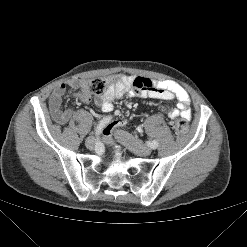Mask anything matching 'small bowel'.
<instances>
[{"label":"small bowel","instance_id":"small-bowel-1","mask_svg":"<svg viewBox=\"0 0 247 247\" xmlns=\"http://www.w3.org/2000/svg\"><path fill=\"white\" fill-rule=\"evenodd\" d=\"M81 80H70L56 86L49 98V109L53 120L58 124H66L75 114L72 108L62 109V98L67 88L77 90V97L83 103H90L92 96L87 91ZM150 97L160 100H177L175 108L162 106L160 109L171 119L182 117L190 120L192 113L190 109V98L186 90L179 84L169 81H154L144 77H122L119 81L110 80L105 93L94 99L95 104L104 112L113 110L115 100L122 97ZM125 119H118V124H125ZM106 142L110 139L105 138Z\"/></svg>","mask_w":247,"mask_h":247}]
</instances>
